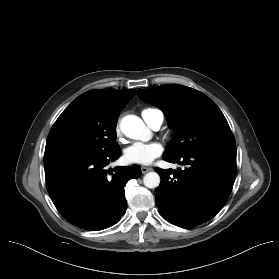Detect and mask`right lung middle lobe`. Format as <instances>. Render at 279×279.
Returning a JSON list of instances; mask_svg holds the SVG:
<instances>
[{
    "label": "right lung middle lobe",
    "mask_w": 279,
    "mask_h": 279,
    "mask_svg": "<svg viewBox=\"0 0 279 279\" xmlns=\"http://www.w3.org/2000/svg\"><path fill=\"white\" fill-rule=\"evenodd\" d=\"M118 117L98 112L77 97L52 126L45 156L69 151L108 154L119 149L116 142Z\"/></svg>",
    "instance_id": "1"
}]
</instances>
